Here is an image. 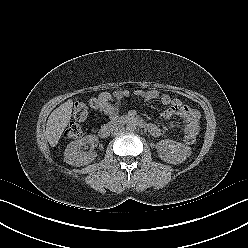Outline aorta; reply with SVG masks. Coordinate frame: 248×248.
<instances>
[{"instance_id": "762f6f07", "label": "aorta", "mask_w": 248, "mask_h": 248, "mask_svg": "<svg viewBox=\"0 0 248 248\" xmlns=\"http://www.w3.org/2000/svg\"><path fill=\"white\" fill-rule=\"evenodd\" d=\"M126 130L127 131H134L136 130V124L133 122V121H129L127 124H126Z\"/></svg>"}]
</instances>
